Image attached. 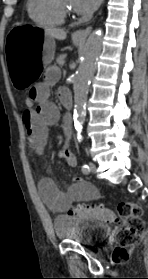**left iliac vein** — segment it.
Here are the masks:
<instances>
[{"instance_id":"obj_1","label":"left iliac vein","mask_w":148,"mask_h":279,"mask_svg":"<svg viewBox=\"0 0 148 279\" xmlns=\"http://www.w3.org/2000/svg\"><path fill=\"white\" fill-rule=\"evenodd\" d=\"M89 168L92 173H96V165L93 162L89 163Z\"/></svg>"}]
</instances>
